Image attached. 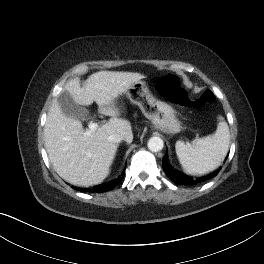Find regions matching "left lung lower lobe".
Segmentation results:
<instances>
[{
    "label": "left lung lower lobe",
    "mask_w": 264,
    "mask_h": 264,
    "mask_svg": "<svg viewBox=\"0 0 264 264\" xmlns=\"http://www.w3.org/2000/svg\"><path fill=\"white\" fill-rule=\"evenodd\" d=\"M162 166L163 169L166 173V175L169 177V179L179 185H193V184H198L201 183L205 180L211 179L214 176H216L219 172V170L214 171L213 173L209 174L208 176L201 177L198 179H193L182 172L173 169L171 165H169L166 161V156L163 157L162 159Z\"/></svg>",
    "instance_id": "1"
}]
</instances>
